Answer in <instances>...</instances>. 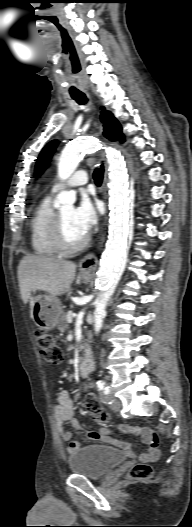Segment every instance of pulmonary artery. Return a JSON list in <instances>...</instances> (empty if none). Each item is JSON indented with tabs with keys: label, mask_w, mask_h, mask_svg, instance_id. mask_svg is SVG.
<instances>
[{
	"label": "pulmonary artery",
	"mask_w": 192,
	"mask_h": 527,
	"mask_svg": "<svg viewBox=\"0 0 192 527\" xmlns=\"http://www.w3.org/2000/svg\"><path fill=\"white\" fill-rule=\"evenodd\" d=\"M88 182V174L85 170H78L73 173L67 180L57 182L52 186L51 193H56L64 188L77 187L85 185Z\"/></svg>",
	"instance_id": "e3ab8cb5"
}]
</instances>
